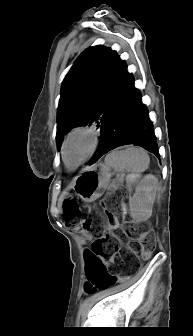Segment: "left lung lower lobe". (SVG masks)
<instances>
[{
    "instance_id": "obj_1",
    "label": "left lung lower lobe",
    "mask_w": 193,
    "mask_h": 336,
    "mask_svg": "<svg viewBox=\"0 0 193 336\" xmlns=\"http://www.w3.org/2000/svg\"><path fill=\"white\" fill-rule=\"evenodd\" d=\"M100 130L101 142L90 164L109 151L129 144L143 147L159 157L152 122L128 71L117 99L102 122Z\"/></svg>"
}]
</instances>
